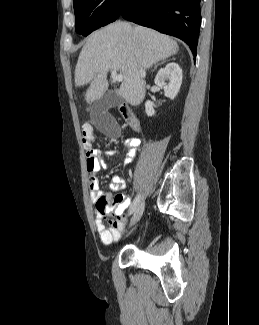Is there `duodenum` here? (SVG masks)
<instances>
[{
	"instance_id": "410a0bca",
	"label": "duodenum",
	"mask_w": 259,
	"mask_h": 325,
	"mask_svg": "<svg viewBox=\"0 0 259 325\" xmlns=\"http://www.w3.org/2000/svg\"><path fill=\"white\" fill-rule=\"evenodd\" d=\"M122 117L127 122V124L135 131H139L140 123L136 115L126 104H120L118 107Z\"/></svg>"
}]
</instances>
